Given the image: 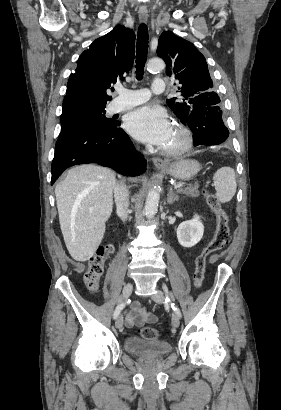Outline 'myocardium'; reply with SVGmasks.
<instances>
[{
    "instance_id": "obj_1",
    "label": "myocardium",
    "mask_w": 281,
    "mask_h": 410,
    "mask_svg": "<svg viewBox=\"0 0 281 410\" xmlns=\"http://www.w3.org/2000/svg\"><path fill=\"white\" fill-rule=\"evenodd\" d=\"M173 129L180 135L181 142L180 144L172 149H166L161 147L160 152L169 157H175L186 153L193 144V135L191 130L184 124L176 122L173 125Z\"/></svg>"
}]
</instances>
